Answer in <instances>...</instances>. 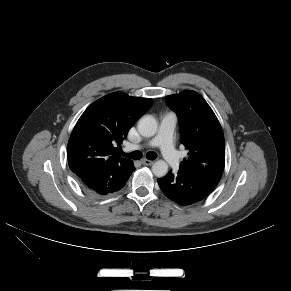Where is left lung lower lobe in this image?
<instances>
[{
  "mask_svg": "<svg viewBox=\"0 0 291 291\" xmlns=\"http://www.w3.org/2000/svg\"><path fill=\"white\" fill-rule=\"evenodd\" d=\"M158 184L169 199L182 206L203 200L217 185L183 170L176 174L169 171L158 179Z\"/></svg>",
  "mask_w": 291,
  "mask_h": 291,
  "instance_id": "obj_1",
  "label": "left lung lower lobe"
}]
</instances>
